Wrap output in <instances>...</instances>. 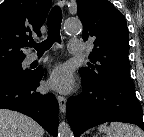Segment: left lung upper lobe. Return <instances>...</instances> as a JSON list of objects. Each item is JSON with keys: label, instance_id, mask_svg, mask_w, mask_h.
Segmentation results:
<instances>
[{"label": "left lung upper lobe", "instance_id": "5c2ea615", "mask_svg": "<svg viewBox=\"0 0 144 137\" xmlns=\"http://www.w3.org/2000/svg\"><path fill=\"white\" fill-rule=\"evenodd\" d=\"M82 38L94 40L89 67L81 68L82 83L112 81L134 86L128 61L129 33L125 17L107 0H78Z\"/></svg>", "mask_w": 144, "mask_h": 137}]
</instances>
